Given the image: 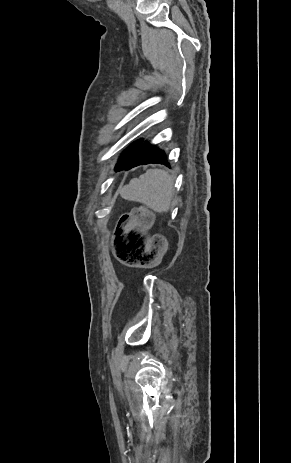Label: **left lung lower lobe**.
<instances>
[{"label":"left lung lower lobe","instance_id":"0a47b994","mask_svg":"<svg viewBox=\"0 0 291 463\" xmlns=\"http://www.w3.org/2000/svg\"><path fill=\"white\" fill-rule=\"evenodd\" d=\"M149 163H160L169 166L163 150L148 142H144V144L139 145L137 148L121 157L116 166V170H129L135 166Z\"/></svg>","mask_w":291,"mask_h":463}]
</instances>
